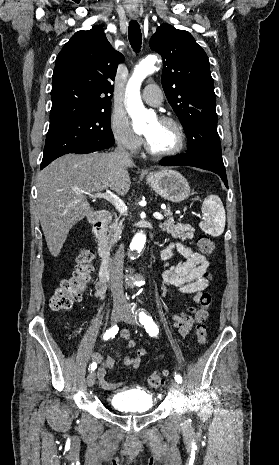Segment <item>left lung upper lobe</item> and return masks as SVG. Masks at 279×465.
I'll return each instance as SVG.
<instances>
[{
    "instance_id": "left-lung-upper-lobe-1",
    "label": "left lung upper lobe",
    "mask_w": 279,
    "mask_h": 465,
    "mask_svg": "<svg viewBox=\"0 0 279 465\" xmlns=\"http://www.w3.org/2000/svg\"><path fill=\"white\" fill-rule=\"evenodd\" d=\"M163 58L162 85L188 140L187 155L225 169L217 132L216 97L205 51L193 36L162 24L150 40Z\"/></svg>"
}]
</instances>
